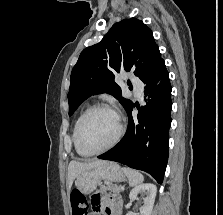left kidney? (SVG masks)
<instances>
[{"instance_id":"1","label":"left kidney","mask_w":223,"mask_h":215,"mask_svg":"<svg viewBox=\"0 0 223 215\" xmlns=\"http://www.w3.org/2000/svg\"><path fill=\"white\" fill-rule=\"evenodd\" d=\"M142 191H146L147 197H144V205L140 207V215H151L157 187L154 183H142V185H136L133 187L129 193L130 199H137V193H142Z\"/></svg>"}]
</instances>
